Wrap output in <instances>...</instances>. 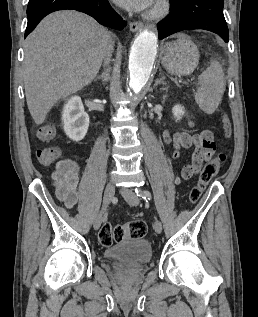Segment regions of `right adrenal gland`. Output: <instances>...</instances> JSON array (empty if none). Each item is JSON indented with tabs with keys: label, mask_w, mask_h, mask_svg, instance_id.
Instances as JSON below:
<instances>
[{
	"label": "right adrenal gland",
	"mask_w": 258,
	"mask_h": 317,
	"mask_svg": "<svg viewBox=\"0 0 258 317\" xmlns=\"http://www.w3.org/2000/svg\"><path fill=\"white\" fill-rule=\"evenodd\" d=\"M108 76H109V68H106V70H104V72H102L100 76H97V78L98 80H102V84H106V82H108Z\"/></svg>",
	"instance_id": "right-adrenal-gland-1"
}]
</instances>
